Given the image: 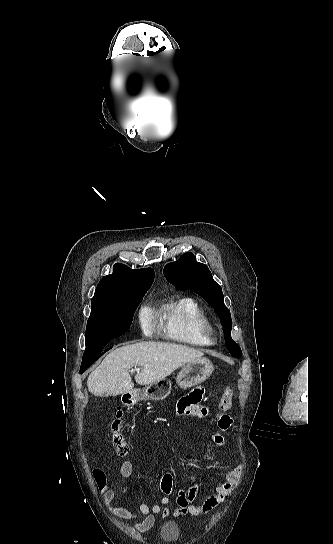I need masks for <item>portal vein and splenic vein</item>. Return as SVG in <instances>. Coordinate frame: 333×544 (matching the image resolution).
I'll use <instances>...</instances> for the list:
<instances>
[{"label":"portal vein and splenic vein","mask_w":333,"mask_h":544,"mask_svg":"<svg viewBox=\"0 0 333 544\" xmlns=\"http://www.w3.org/2000/svg\"><path fill=\"white\" fill-rule=\"evenodd\" d=\"M135 371H139V368H135Z\"/></svg>","instance_id":"18ae733b"}]
</instances>
